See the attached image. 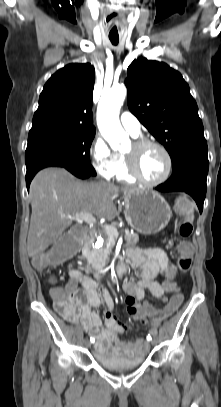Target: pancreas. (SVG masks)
Instances as JSON below:
<instances>
[{"label":"pancreas","mask_w":221,"mask_h":407,"mask_svg":"<svg viewBox=\"0 0 221 407\" xmlns=\"http://www.w3.org/2000/svg\"><path fill=\"white\" fill-rule=\"evenodd\" d=\"M115 227V226H114ZM98 236L103 238H108L106 231H98L95 228L89 230V237L84 244V252L88 258L90 264L94 268H103L107 259L106 248L95 249L93 244ZM124 239L126 241V246H136L139 242V236L137 233H130L128 230L125 231Z\"/></svg>","instance_id":"1"}]
</instances>
